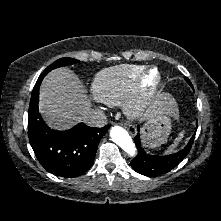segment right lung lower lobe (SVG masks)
Masks as SVG:
<instances>
[{"label": "right lung lower lobe", "instance_id": "98d812e1", "mask_svg": "<svg viewBox=\"0 0 221 221\" xmlns=\"http://www.w3.org/2000/svg\"><path fill=\"white\" fill-rule=\"evenodd\" d=\"M41 81L37 80L34 86L28 111L32 149L48 172L65 178L80 176L93 164L98 144L110 125L97 128L79 123L67 131L50 129L38 109Z\"/></svg>", "mask_w": 221, "mask_h": 221}]
</instances>
